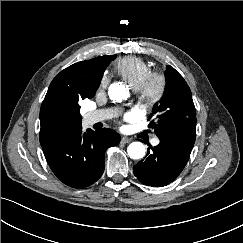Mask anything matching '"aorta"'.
<instances>
[{"label":"aorta","mask_w":243,"mask_h":243,"mask_svg":"<svg viewBox=\"0 0 243 243\" xmlns=\"http://www.w3.org/2000/svg\"><path fill=\"white\" fill-rule=\"evenodd\" d=\"M108 94L114 102H122L129 96L127 88L120 83L111 84L108 89ZM127 152L130 158L141 159L145 156V146L141 142H132L128 146Z\"/></svg>","instance_id":"aorta-1"}]
</instances>
